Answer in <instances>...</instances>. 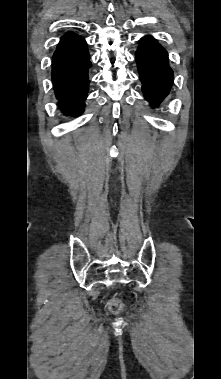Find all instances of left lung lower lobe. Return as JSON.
Segmentation results:
<instances>
[{"label": "left lung lower lobe", "instance_id": "1", "mask_svg": "<svg viewBox=\"0 0 221 379\" xmlns=\"http://www.w3.org/2000/svg\"><path fill=\"white\" fill-rule=\"evenodd\" d=\"M135 56L144 97L156 107L168 95L173 82L168 54L153 37L145 36Z\"/></svg>", "mask_w": 221, "mask_h": 379}]
</instances>
